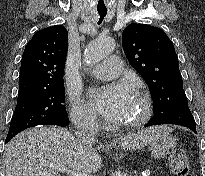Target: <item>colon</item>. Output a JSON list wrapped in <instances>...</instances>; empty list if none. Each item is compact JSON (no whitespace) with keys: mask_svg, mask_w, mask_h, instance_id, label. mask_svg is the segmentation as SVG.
<instances>
[{"mask_svg":"<svg viewBox=\"0 0 205 176\" xmlns=\"http://www.w3.org/2000/svg\"><path fill=\"white\" fill-rule=\"evenodd\" d=\"M169 165L176 176H191L189 159L183 149L177 148L171 153Z\"/></svg>","mask_w":205,"mask_h":176,"instance_id":"obj_1","label":"colon"}]
</instances>
